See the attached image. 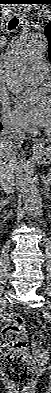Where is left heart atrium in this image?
<instances>
[{
	"mask_svg": "<svg viewBox=\"0 0 51 393\" xmlns=\"http://www.w3.org/2000/svg\"><path fill=\"white\" fill-rule=\"evenodd\" d=\"M18 111L27 121L41 127L50 123V101L43 92L18 103Z\"/></svg>",
	"mask_w": 51,
	"mask_h": 393,
	"instance_id": "obj_1",
	"label": "left heart atrium"
}]
</instances>
